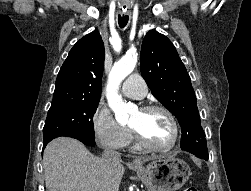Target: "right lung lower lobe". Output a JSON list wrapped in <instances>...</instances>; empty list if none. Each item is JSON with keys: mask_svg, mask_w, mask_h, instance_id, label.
I'll return each mask as SVG.
<instances>
[{"mask_svg": "<svg viewBox=\"0 0 251 191\" xmlns=\"http://www.w3.org/2000/svg\"><path fill=\"white\" fill-rule=\"evenodd\" d=\"M61 136H67V137H72V138H75V139H78L79 141H81L82 143H84L85 145H89V146H94L95 145V141L94 139L95 138H92V137H87V136H84V135H81V134H77V133H66V134H63ZM60 137V136H59ZM50 142V141H49ZM49 142H43V150L44 148L46 147V145L49 143Z\"/></svg>", "mask_w": 251, "mask_h": 191, "instance_id": "1", "label": "right lung lower lobe"}]
</instances>
